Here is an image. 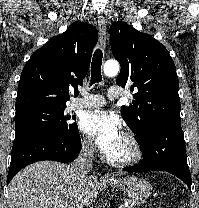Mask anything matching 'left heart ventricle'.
Wrapping results in <instances>:
<instances>
[{
    "mask_svg": "<svg viewBox=\"0 0 199 208\" xmlns=\"http://www.w3.org/2000/svg\"><path fill=\"white\" fill-rule=\"evenodd\" d=\"M132 152V147L122 137L121 141L112 149L108 156L114 159H125L130 157Z\"/></svg>",
    "mask_w": 199,
    "mask_h": 208,
    "instance_id": "b2bd125f",
    "label": "left heart ventricle"
}]
</instances>
